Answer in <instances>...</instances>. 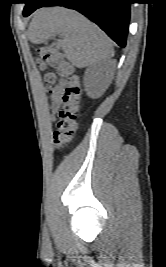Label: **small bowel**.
Instances as JSON below:
<instances>
[{
    "mask_svg": "<svg viewBox=\"0 0 166 267\" xmlns=\"http://www.w3.org/2000/svg\"><path fill=\"white\" fill-rule=\"evenodd\" d=\"M65 86H66V81L60 80L52 91V103L55 107H57L59 104V98Z\"/></svg>",
    "mask_w": 166,
    "mask_h": 267,
    "instance_id": "small-bowel-1",
    "label": "small bowel"
}]
</instances>
